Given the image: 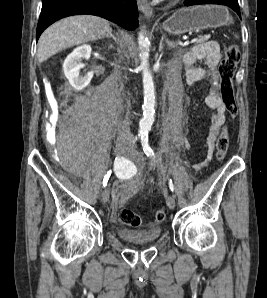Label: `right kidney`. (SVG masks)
<instances>
[{"instance_id":"ca27d5eb","label":"right kidney","mask_w":267,"mask_h":298,"mask_svg":"<svg viewBox=\"0 0 267 298\" xmlns=\"http://www.w3.org/2000/svg\"><path fill=\"white\" fill-rule=\"evenodd\" d=\"M91 56L90 45H82L75 48L65 59L63 71L70 85L75 90L84 89L91 81L93 72L87 73L84 77L79 75L80 69L84 67L82 59H89Z\"/></svg>"}]
</instances>
